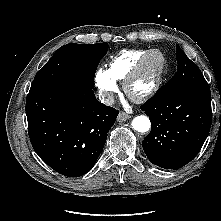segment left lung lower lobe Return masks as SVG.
Instances as JSON below:
<instances>
[{"label": "left lung lower lobe", "instance_id": "left-lung-lower-lobe-1", "mask_svg": "<svg viewBox=\"0 0 221 221\" xmlns=\"http://www.w3.org/2000/svg\"><path fill=\"white\" fill-rule=\"evenodd\" d=\"M141 110L151 121L142 145L153 164L176 170L199 153L212 122L210 90L156 93Z\"/></svg>", "mask_w": 221, "mask_h": 221}]
</instances>
